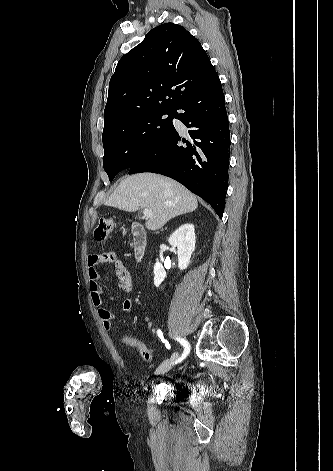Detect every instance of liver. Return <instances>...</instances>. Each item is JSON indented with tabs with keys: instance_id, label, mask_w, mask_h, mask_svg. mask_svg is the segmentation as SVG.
Masks as SVG:
<instances>
[{
	"instance_id": "liver-1",
	"label": "liver",
	"mask_w": 333,
	"mask_h": 471,
	"mask_svg": "<svg viewBox=\"0 0 333 471\" xmlns=\"http://www.w3.org/2000/svg\"><path fill=\"white\" fill-rule=\"evenodd\" d=\"M104 204L127 212L150 209L151 216L145 226L151 231L161 229L172 218L193 212L198 207L196 196L182 184L153 173L127 177Z\"/></svg>"
}]
</instances>
